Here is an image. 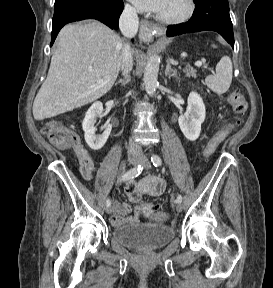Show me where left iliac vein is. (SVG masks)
I'll return each instance as SVG.
<instances>
[{
  "instance_id": "4c4485c4",
  "label": "left iliac vein",
  "mask_w": 273,
  "mask_h": 288,
  "mask_svg": "<svg viewBox=\"0 0 273 288\" xmlns=\"http://www.w3.org/2000/svg\"><path fill=\"white\" fill-rule=\"evenodd\" d=\"M141 160H142L143 162H145V167H146V168H149V167H150V163H149L148 161H146L145 157H142ZM182 210H183L182 204H181V203H177V205H176V211L180 213Z\"/></svg>"
}]
</instances>
